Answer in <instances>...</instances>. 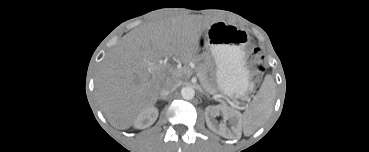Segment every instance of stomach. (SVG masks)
Wrapping results in <instances>:
<instances>
[{
	"label": "stomach",
	"instance_id": "stomach-1",
	"mask_svg": "<svg viewBox=\"0 0 369 152\" xmlns=\"http://www.w3.org/2000/svg\"><path fill=\"white\" fill-rule=\"evenodd\" d=\"M205 42L215 59L219 90L229 97H240L250 92L253 83L244 62L248 34L234 25L219 21L207 29Z\"/></svg>",
	"mask_w": 369,
	"mask_h": 152
}]
</instances>
